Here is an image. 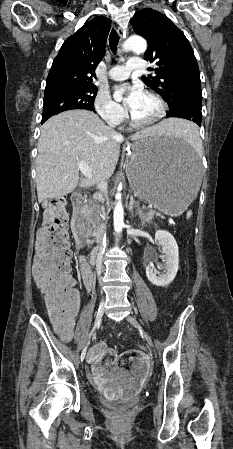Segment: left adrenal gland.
Returning a JSON list of instances; mask_svg holds the SVG:
<instances>
[{
	"label": "left adrenal gland",
	"instance_id": "1",
	"mask_svg": "<svg viewBox=\"0 0 233 449\" xmlns=\"http://www.w3.org/2000/svg\"><path fill=\"white\" fill-rule=\"evenodd\" d=\"M134 204H135V201L133 200V197H131V201H130V205H129V210H130V213H131V214H133ZM135 207H136V211H137L138 213H141V212H142L139 208H137V207H138L137 205H136Z\"/></svg>",
	"mask_w": 233,
	"mask_h": 449
}]
</instances>
